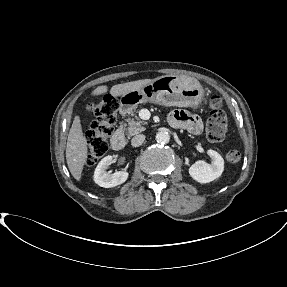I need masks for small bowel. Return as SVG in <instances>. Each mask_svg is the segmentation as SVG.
<instances>
[{"mask_svg": "<svg viewBox=\"0 0 287 287\" xmlns=\"http://www.w3.org/2000/svg\"><path fill=\"white\" fill-rule=\"evenodd\" d=\"M169 122L173 127L185 129L193 134H199L203 127L199 116L185 110L173 111L169 116Z\"/></svg>", "mask_w": 287, "mask_h": 287, "instance_id": "c3829d8e", "label": "small bowel"}]
</instances>
